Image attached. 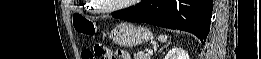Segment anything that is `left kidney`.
Wrapping results in <instances>:
<instances>
[{
	"mask_svg": "<svg viewBox=\"0 0 261 59\" xmlns=\"http://www.w3.org/2000/svg\"><path fill=\"white\" fill-rule=\"evenodd\" d=\"M164 59H189L188 53L178 47L172 48L164 57Z\"/></svg>",
	"mask_w": 261,
	"mask_h": 59,
	"instance_id": "1",
	"label": "left kidney"
}]
</instances>
